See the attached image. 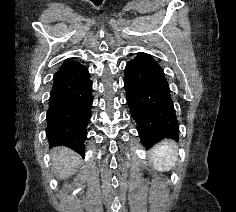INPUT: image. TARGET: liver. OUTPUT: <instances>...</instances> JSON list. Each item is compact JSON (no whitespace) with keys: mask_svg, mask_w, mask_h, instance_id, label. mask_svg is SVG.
<instances>
[{"mask_svg":"<svg viewBox=\"0 0 236 212\" xmlns=\"http://www.w3.org/2000/svg\"><path fill=\"white\" fill-rule=\"evenodd\" d=\"M54 172L59 178L72 175L80 164V157L71 149L59 147L51 151Z\"/></svg>","mask_w":236,"mask_h":212,"instance_id":"liver-1","label":"liver"}]
</instances>
